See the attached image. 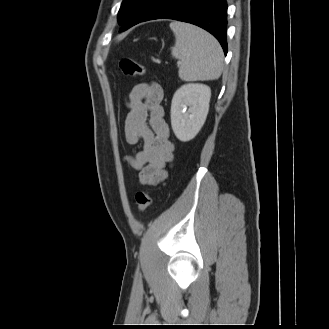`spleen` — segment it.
Instances as JSON below:
<instances>
[{"mask_svg":"<svg viewBox=\"0 0 329 329\" xmlns=\"http://www.w3.org/2000/svg\"><path fill=\"white\" fill-rule=\"evenodd\" d=\"M170 29L175 35L172 56L181 61L179 77L183 81L218 79L223 69V51L208 32L194 25L174 21Z\"/></svg>","mask_w":329,"mask_h":329,"instance_id":"obj_1","label":"spleen"}]
</instances>
